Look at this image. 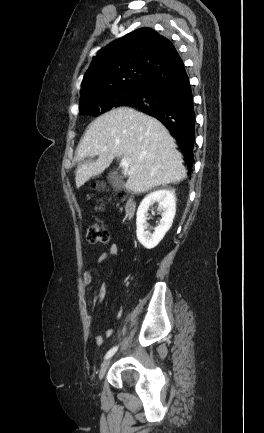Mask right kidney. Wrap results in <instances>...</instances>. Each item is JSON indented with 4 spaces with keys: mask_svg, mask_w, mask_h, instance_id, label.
I'll return each instance as SVG.
<instances>
[{
    "mask_svg": "<svg viewBox=\"0 0 264 433\" xmlns=\"http://www.w3.org/2000/svg\"><path fill=\"white\" fill-rule=\"evenodd\" d=\"M158 202L163 210L159 225L151 234L146 230L149 207ZM176 213V196L173 189H162L148 194L140 203L136 218L138 241L147 249L156 247L170 229Z\"/></svg>",
    "mask_w": 264,
    "mask_h": 433,
    "instance_id": "right-kidney-1",
    "label": "right kidney"
}]
</instances>
